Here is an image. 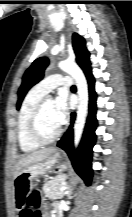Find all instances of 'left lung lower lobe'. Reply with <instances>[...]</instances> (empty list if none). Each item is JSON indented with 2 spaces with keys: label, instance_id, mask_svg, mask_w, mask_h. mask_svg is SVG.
Here are the masks:
<instances>
[{
  "label": "left lung lower lobe",
  "instance_id": "left-lung-lower-lobe-1",
  "mask_svg": "<svg viewBox=\"0 0 132 217\" xmlns=\"http://www.w3.org/2000/svg\"><path fill=\"white\" fill-rule=\"evenodd\" d=\"M89 84V116L87 119L85 131L81 144L77 150L73 147V130L72 125L65 133L62 139L58 142L57 146L65 150L70 157L76 172L84 179L87 185H90L92 170H91V157L92 148L96 141L95 129L97 126L96 120V93L94 90L95 80L91 74V70L86 73ZM72 124L75 118V113H72Z\"/></svg>",
  "mask_w": 132,
  "mask_h": 217
}]
</instances>
